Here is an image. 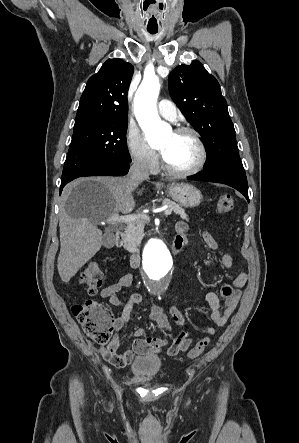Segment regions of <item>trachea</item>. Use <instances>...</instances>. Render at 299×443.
<instances>
[{
    "label": "trachea",
    "mask_w": 299,
    "mask_h": 443,
    "mask_svg": "<svg viewBox=\"0 0 299 443\" xmlns=\"http://www.w3.org/2000/svg\"><path fill=\"white\" fill-rule=\"evenodd\" d=\"M148 32H149L150 34H156V33H157V30H148Z\"/></svg>",
    "instance_id": "1"
}]
</instances>
